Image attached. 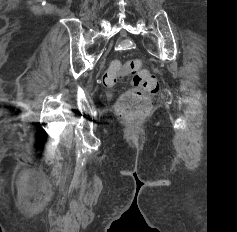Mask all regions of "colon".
<instances>
[{
  "label": "colon",
  "mask_w": 237,
  "mask_h": 232,
  "mask_svg": "<svg viewBox=\"0 0 237 232\" xmlns=\"http://www.w3.org/2000/svg\"><path fill=\"white\" fill-rule=\"evenodd\" d=\"M128 74L133 76V89L120 98L117 109L122 117L134 121L150 113L151 104L148 96L158 91L159 84L152 73L142 69L138 60H131L125 64L119 60L112 61L103 75V82L107 86H112Z\"/></svg>",
  "instance_id": "1"
}]
</instances>
